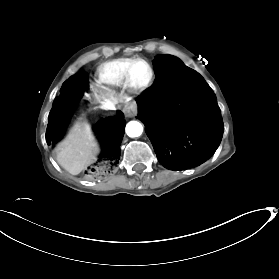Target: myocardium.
I'll list each match as a JSON object with an SVG mask.
<instances>
[{"instance_id": "f54148a6", "label": "myocardium", "mask_w": 279, "mask_h": 279, "mask_svg": "<svg viewBox=\"0 0 279 279\" xmlns=\"http://www.w3.org/2000/svg\"><path fill=\"white\" fill-rule=\"evenodd\" d=\"M136 63H144L147 65V67L149 69V77H148L147 81L143 84H136L132 79V70ZM154 79H155V72H154L153 66L151 65V63L149 61H147L146 59H143V58L131 59L129 65L126 69V72H125V84H126L127 89L130 92H132L134 94L144 93L152 86Z\"/></svg>"}]
</instances>
